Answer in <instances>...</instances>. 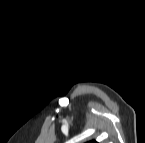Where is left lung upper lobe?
<instances>
[{"label":"left lung upper lobe","mask_w":145,"mask_h":143,"mask_svg":"<svg viewBox=\"0 0 145 143\" xmlns=\"http://www.w3.org/2000/svg\"><path fill=\"white\" fill-rule=\"evenodd\" d=\"M87 143H97L96 141H90V142H87Z\"/></svg>","instance_id":"obj_1"}]
</instances>
